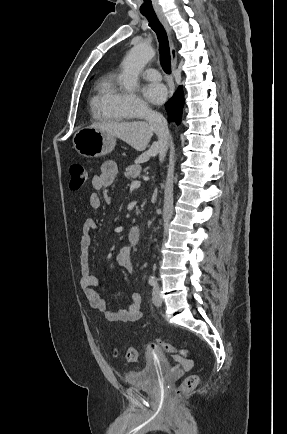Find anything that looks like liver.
Listing matches in <instances>:
<instances>
[{"mask_svg": "<svg viewBox=\"0 0 287 434\" xmlns=\"http://www.w3.org/2000/svg\"><path fill=\"white\" fill-rule=\"evenodd\" d=\"M91 127L123 140L137 151H142L143 153L136 159L137 163L145 162L149 160L150 157H155L159 153V142H154L151 147L145 151L155 132L149 123L145 121H108L95 123L91 125Z\"/></svg>", "mask_w": 287, "mask_h": 434, "instance_id": "1", "label": "liver"}]
</instances>
